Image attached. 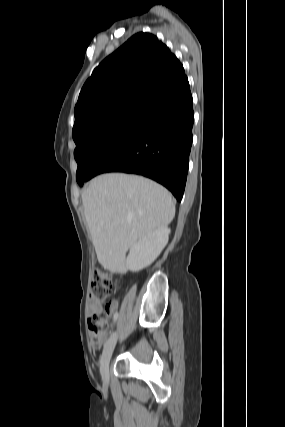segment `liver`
I'll use <instances>...</instances> for the list:
<instances>
[{"label": "liver", "instance_id": "6515ba94", "mask_svg": "<svg viewBox=\"0 0 285 427\" xmlns=\"http://www.w3.org/2000/svg\"><path fill=\"white\" fill-rule=\"evenodd\" d=\"M82 204L97 259L109 269L124 268L128 249L175 216L172 195L164 187L122 173L94 178L82 192Z\"/></svg>", "mask_w": 285, "mask_h": 427}]
</instances>
